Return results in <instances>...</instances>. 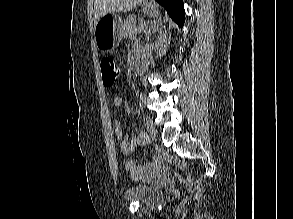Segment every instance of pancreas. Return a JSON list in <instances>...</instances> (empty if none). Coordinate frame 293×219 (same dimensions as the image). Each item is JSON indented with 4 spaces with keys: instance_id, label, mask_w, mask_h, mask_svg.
Listing matches in <instances>:
<instances>
[{
    "instance_id": "obj_1",
    "label": "pancreas",
    "mask_w": 293,
    "mask_h": 219,
    "mask_svg": "<svg viewBox=\"0 0 293 219\" xmlns=\"http://www.w3.org/2000/svg\"><path fill=\"white\" fill-rule=\"evenodd\" d=\"M142 21H140L139 25H137V20L135 16L131 15L127 19L124 20L122 24V34L125 37H131L137 33V31H141L144 26Z\"/></svg>"
}]
</instances>
